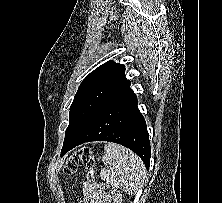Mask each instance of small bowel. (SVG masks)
Segmentation results:
<instances>
[{
  "label": "small bowel",
  "mask_w": 222,
  "mask_h": 203,
  "mask_svg": "<svg viewBox=\"0 0 222 203\" xmlns=\"http://www.w3.org/2000/svg\"><path fill=\"white\" fill-rule=\"evenodd\" d=\"M84 196V203H111L110 195L98 185H86Z\"/></svg>",
  "instance_id": "c3829d8e"
}]
</instances>
